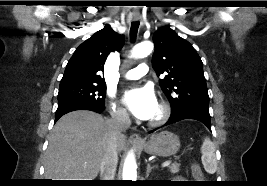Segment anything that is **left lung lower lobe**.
I'll use <instances>...</instances> for the list:
<instances>
[{
	"mask_svg": "<svg viewBox=\"0 0 267 186\" xmlns=\"http://www.w3.org/2000/svg\"><path fill=\"white\" fill-rule=\"evenodd\" d=\"M184 119H194L200 121L206 125L209 130H211V117L209 111L198 108H188L179 112L171 113L170 119L165 125H169Z\"/></svg>",
	"mask_w": 267,
	"mask_h": 186,
	"instance_id": "obj_1",
	"label": "left lung lower lobe"
}]
</instances>
